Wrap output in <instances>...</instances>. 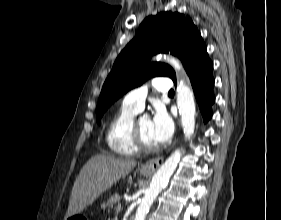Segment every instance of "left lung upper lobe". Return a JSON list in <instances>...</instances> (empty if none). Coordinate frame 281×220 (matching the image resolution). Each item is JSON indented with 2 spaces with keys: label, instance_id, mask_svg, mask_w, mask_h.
Instances as JSON below:
<instances>
[{
  "label": "left lung upper lobe",
  "instance_id": "1",
  "mask_svg": "<svg viewBox=\"0 0 281 220\" xmlns=\"http://www.w3.org/2000/svg\"><path fill=\"white\" fill-rule=\"evenodd\" d=\"M206 45L192 20L178 12H161L147 17L138 34L116 59L104 82L96 109L97 121L108 107L150 76H167L176 81L173 69L163 63H149L153 54L170 52L186 69L194 58L206 52Z\"/></svg>",
  "mask_w": 281,
  "mask_h": 220
}]
</instances>
